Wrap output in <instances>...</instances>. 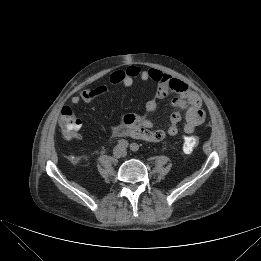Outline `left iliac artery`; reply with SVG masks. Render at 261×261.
<instances>
[{
  "label": "left iliac artery",
  "instance_id": "1",
  "mask_svg": "<svg viewBox=\"0 0 261 261\" xmlns=\"http://www.w3.org/2000/svg\"><path fill=\"white\" fill-rule=\"evenodd\" d=\"M130 149H131L133 152H136V151H138L139 146H138L136 143H133V144L130 145Z\"/></svg>",
  "mask_w": 261,
  "mask_h": 261
}]
</instances>
